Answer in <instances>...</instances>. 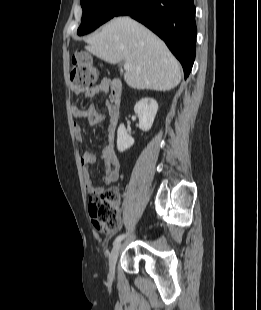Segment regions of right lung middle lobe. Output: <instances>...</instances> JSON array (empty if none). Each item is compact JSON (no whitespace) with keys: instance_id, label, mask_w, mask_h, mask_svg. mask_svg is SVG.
<instances>
[{"instance_id":"right-lung-middle-lobe-1","label":"right lung middle lobe","mask_w":261,"mask_h":310,"mask_svg":"<svg viewBox=\"0 0 261 310\" xmlns=\"http://www.w3.org/2000/svg\"><path fill=\"white\" fill-rule=\"evenodd\" d=\"M128 0H81L82 24L78 35H84L113 18Z\"/></svg>"}]
</instances>
